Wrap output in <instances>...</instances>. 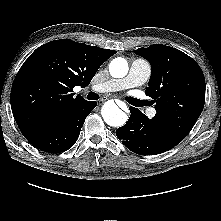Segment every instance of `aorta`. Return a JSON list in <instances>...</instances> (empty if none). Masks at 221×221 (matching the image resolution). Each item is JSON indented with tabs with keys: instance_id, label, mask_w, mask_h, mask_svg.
Returning <instances> with one entry per match:
<instances>
[{
	"instance_id": "1",
	"label": "aorta",
	"mask_w": 221,
	"mask_h": 221,
	"mask_svg": "<svg viewBox=\"0 0 221 221\" xmlns=\"http://www.w3.org/2000/svg\"><path fill=\"white\" fill-rule=\"evenodd\" d=\"M110 75L114 78H122L128 72V63L124 58L117 57L109 64ZM102 117L106 124L113 127H120L125 124L128 116L113 101H107L101 110Z\"/></svg>"
}]
</instances>
